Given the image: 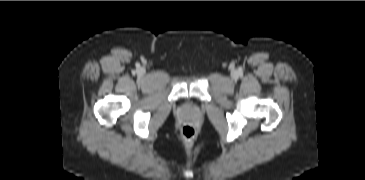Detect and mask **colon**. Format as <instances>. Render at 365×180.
Masks as SVG:
<instances>
[{"instance_id":"obj_1","label":"colon","mask_w":365,"mask_h":180,"mask_svg":"<svg viewBox=\"0 0 365 180\" xmlns=\"http://www.w3.org/2000/svg\"><path fill=\"white\" fill-rule=\"evenodd\" d=\"M181 133L185 140L190 141L193 139V137L195 135V130L191 125L185 124L182 127Z\"/></svg>"}]
</instances>
